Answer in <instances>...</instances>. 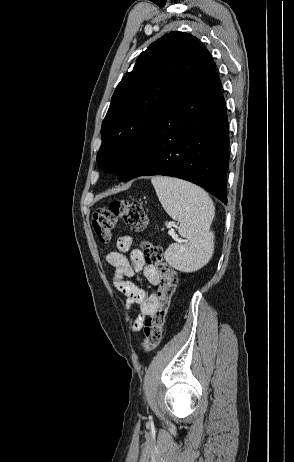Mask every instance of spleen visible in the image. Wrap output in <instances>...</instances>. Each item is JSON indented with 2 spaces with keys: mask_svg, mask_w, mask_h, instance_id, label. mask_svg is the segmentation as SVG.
Wrapping results in <instances>:
<instances>
[{
  "mask_svg": "<svg viewBox=\"0 0 294 462\" xmlns=\"http://www.w3.org/2000/svg\"><path fill=\"white\" fill-rule=\"evenodd\" d=\"M165 211L179 221L178 232L184 244L173 243L165 251V259L173 268L193 272L203 267L214 251V233L210 231L215 207L209 195L187 181L156 176L151 179Z\"/></svg>",
  "mask_w": 294,
  "mask_h": 462,
  "instance_id": "spleen-1",
  "label": "spleen"
}]
</instances>
